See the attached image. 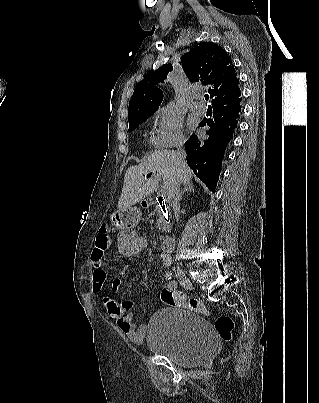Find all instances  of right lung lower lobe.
I'll return each instance as SVG.
<instances>
[{
	"instance_id": "right-lung-lower-lobe-1",
	"label": "right lung lower lobe",
	"mask_w": 319,
	"mask_h": 403,
	"mask_svg": "<svg viewBox=\"0 0 319 403\" xmlns=\"http://www.w3.org/2000/svg\"><path fill=\"white\" fill-rule=\"evenodd\" d=\"M241 92L213 104V117L204 119L199 126H208V137L198 139L193 134L185 143L187 164L207 187L215 192L221 171L222 158L232 139L241 110Z\"/></svg>"
}]
</instances>
